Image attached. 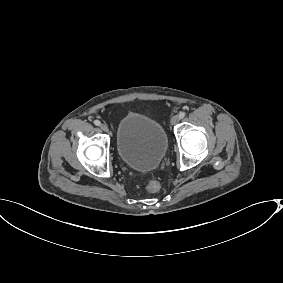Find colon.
<instances>
[{
	"label": "colon",
	"instance_id": "colon-1",
	"mask_svg": "<svg viewBox=\"0 0 283 283\" xmlns=\"http://www.w3.org/2000/svg\"><path fill=\"white\" fill-rule=\"evenodd\" d=\"M147 190L151 193H156L160 190V183L155 179H150L147 182Z\"/></svg>",
	"mask_w": 283,
	"mask_h": 283
}]
</instances>
